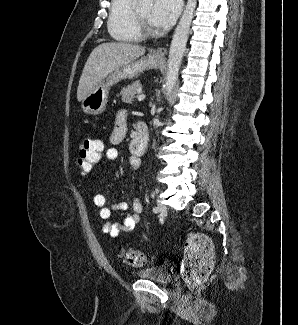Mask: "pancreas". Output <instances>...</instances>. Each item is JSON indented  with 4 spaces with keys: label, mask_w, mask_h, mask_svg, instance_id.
<instances>
[{
    "label": "pancreas",
    "mask_w": 298,
    "mask_h": 325,
    "mask_svg": "<svg viewBox=\"0 0 298 325\" xmlns=\"http://www.w3.org/2000/svg\"><path fill=\"white\" fill-rule=\"evenodd\" d=\"M142 86L141 80H135L132 84H127V86H123L120 92H118V96H121L122 102H133L136 100L137 96H139L138 88Z\"/></svg>",
    "instance_id": "1"
}]
</instances>
